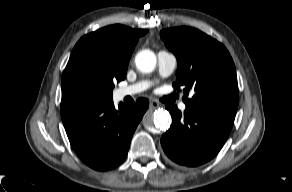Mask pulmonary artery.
I'll list each match as a JSON object with an SVG mask.
<instances>
[{
  "label": "pulmonary artery",
  "instance_id": "1",
  "mask_svg": "<svg viewBox=\"0 0 292 192\" xmlns=\"http://www.w3.org/2000/svg\"><path fill=\"white\" fill-rule=\"evenodd\" d=\"M157 60H158V68L159 74L161 77H168L170 76L176 66H177V58L174 54L161 50L157 53ZM151 86V83L148 81H140L135 84L119 88L116 91L118 98L122 99L127 96H132L147 90ZM179 109L183 112L186 109L185 103H181L179 105Z\"/></svg>",
  "mask_w": 292,
  "mask_h": 192
}]
</instances>
